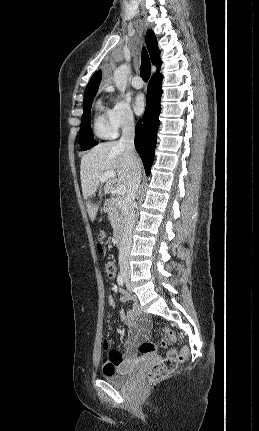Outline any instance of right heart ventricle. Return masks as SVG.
<instances>
[{
    "instance_id": "e07e8e85",
    "label": "right heart ventricle",
    "mask_w": 259,
    "mask_h": 431,
    "mask_svg": "<svg viewBox=\"0 0 259 431\" xmlns=\"http://www.w3.org/2000/svg\"><path fill=\"white\" fill-rule=\"evenodd\" d=\"M93 130L95 135L102 139H107L115 136V132L111 128L108 121L107 111L104 109L101 101H98L95 105Z\"/></svg>"
}]
</instances>
